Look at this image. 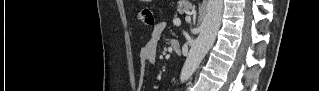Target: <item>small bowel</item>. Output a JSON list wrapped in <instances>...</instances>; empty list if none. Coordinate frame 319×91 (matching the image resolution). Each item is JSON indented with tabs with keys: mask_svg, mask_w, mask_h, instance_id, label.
Segmentation results:
<instances>
[{
	"mask_svg": "<svg viewBox=\"0 0 319 91\" xmlns=\"http://www.w3.org/2000/svg\"><path fill=\"white\" fill-rule=\"evenodd\" d=\"M165 28H166L165 22L157 23L153 27L148 41L140 50L139 60H140L141 80H143L147 66L154 65L157 62L158 41L160 40Z\"/></svg>",
	"mask_w": 319,
	"mask_h": 91,
	"instance_id": "c3829d8e",
	"label": "small bowel"
}]
</instances>
